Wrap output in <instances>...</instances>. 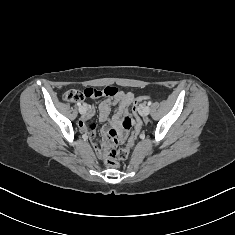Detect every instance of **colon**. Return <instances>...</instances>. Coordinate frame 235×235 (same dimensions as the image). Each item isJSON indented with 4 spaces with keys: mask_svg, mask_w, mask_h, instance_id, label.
Returning <instances> with one entry per match:
<instances>
[{
    "mask_svg": "<svg viewBox=\"0 0 235 235\" xmlns=\"http://www.w3.org/2000/svg\"><path fill=\"white\" fill-rule=\"evenodd\" d=\"M113 87H105L103 89L98 88H87L83 92L79 90H70L64 94V100L67 102H78L85 97H102L110 96L114 94ZM150 97L140 96L134 100L133 104V114L134 117L125 116L122 119V130L117 132L114 129H110L106 134L107 146L102 150L104 160L107 166L117 167L119 162L125 160L132 147L135 144L139 130H140V120L138 119V109L144 104ZM131 128H133L131 130ZM131 130V131H130ZM125 142L123 148H118V145Z\"/></svg>",
    "mask_w": 235,
    "mask_h": 235,
    "instance_id": "obj_1",
    "label": "colon"
}]
</instances>
